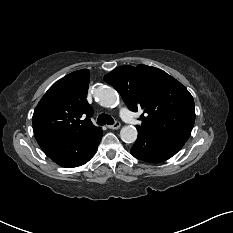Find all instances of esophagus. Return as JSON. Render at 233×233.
<instances>
[{
	"mask_svg": "<svg viewBox=\"0 0 233 233\" xmlns=\"http://www.w3.org/2000/svg\"><path fill=\"white\" fill-rule=\"evenodd\" d=\"M120 126H121L120 122L116 121L113 125H109L108 128L112 130H117L120 128Z\"/></svg>",
	"mask_w": 233,
	"mask_h": 233,
	"instance_id": "esophagus-1",
	"label": "esophagus"
}]
</instances>
